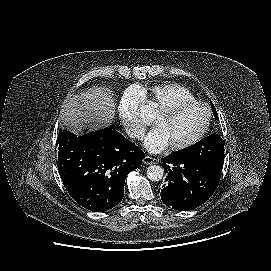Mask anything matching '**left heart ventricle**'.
<instances>
[{
  "label": "left heart ventricle",
  "mask_w": 271,
  "mask_h": 271,
  "mask_svg": "<svg viewBox=\"0 0 271 271\" xmlns=\"http://www.w3.org/2000/svg\"><path fill=\"white\" fill-rule=\"evenodd\" d=\"M207 120V111L193 106L172 116L154 117V124L165 134L169 146L179 145L192 139L203 128Z\"/></svg>",
  "instance_id": "1"
}]
</instances>
